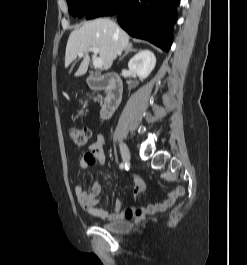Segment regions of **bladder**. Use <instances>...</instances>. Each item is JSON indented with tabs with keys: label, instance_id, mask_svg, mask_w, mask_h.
I'll return each mask as SVG.
<instances>
[{
	"label": "bladder",
	"instance_id": "1",
	"mask_svg": "<svg viewBox=\"0 0 247 265\" xmlns=\"http://www.w3.org/2000/svg\"><path fill=\"white\" fill-rule=\"evenodd\" d=\"M100 227L113 233H126L131 230L132 224L128 220H115L101 223Z\"/></svg>",
	"mask_w": 247,
	"mask_h": 265
}]
</instances>
